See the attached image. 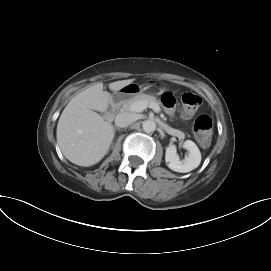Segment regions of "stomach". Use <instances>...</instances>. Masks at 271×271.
Here are the masks:
<instances>
[{
    "label": "stomach",
    "instance_id": "1",
    "mask_svg": "<svg viewBox=\"0 0 271 271\" xmlns=\"http://www.w3.org/2000/svg\"><path fill=\"white\" fill-rule=\"evenodd\" d=\"M143 88L135 83H130L115 92L114 98L124 100L142 92Z\"/></svg>",
    "mask_w": 271,
    "mask_h": 271
}]
</instances>
